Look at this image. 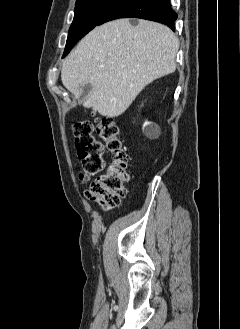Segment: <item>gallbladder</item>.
Segmentation results:
<instances>
[{
    "mask_svg": "<svg viewBox=\"0 0 240 329\" xmlns=\"http://www.w3.org/2000/svg\"><path fill=\"white\" fill-rule=\"evenodd\" d=\"M92 84L86 83L82 86L81 94H80V103L84 102L88 95L92 92Z\"/></svg>",
    "mask_w": 240,
    "mask_h": 329,
    "instance_id": "gallbladder-1",
    "label": "gallbladder"
}]
</instances>
